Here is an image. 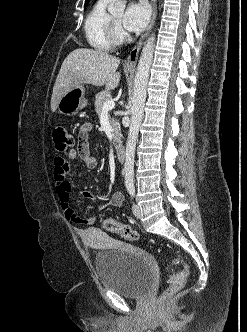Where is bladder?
<instances>
[{
  "label": "bladder",
  "instance_id": "1",
  "mask_svg": "<svg viewBox=\"0 0 247 332\" xmlns=\"http://www.w3.org/2000/svg\"><path fill=\"white\" fill-rule=\"evenodd\" d=\"M95 268L104 288L131 299H140L148 293L156 273L151 254L123 243L99 251Z\"/></svg>",
  "mask_w": 247,
  "mask_h": 332
}]
</instances>
